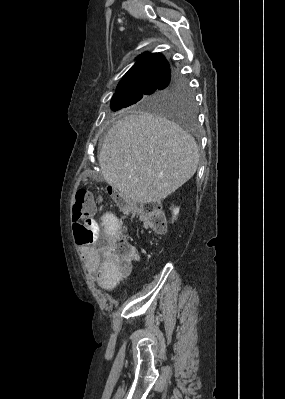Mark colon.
<instances>
[{"instance_id":"obj_1","label":"colon","mask_w":285,"mask_h":399,"mask_svg":"<svg viewBox=\"0 0 285 399\" xmlns=\"http://www.w3.org/2000/svg\"><path fill=\"white\" fill-rule=\"evenodd\" d=\"M106 196L111 199L120 200V205L129 213L136 214L140 220L150 229L157 232H164L166 229V220L161 205L158 202H148L142 206H138L127 200L119 198L118 194L112 190H106ZM102 196L100 195V198ZM98 202L93 192L82 187L76 191L75 202L72 207L73 213V232L76 241L85 243L97 241L104 243L106 257L112 262L116 271L122 275L130 272L134 254L132 247L125 240L124 230L125 224L121 222L118 227L119 231L109 233L106 239L99 238L94 231H87V237L81 235V231L85 228L83 222L91 224L94 219ZM85 220V221H84Z\"/></svg>"}]
</instances>
